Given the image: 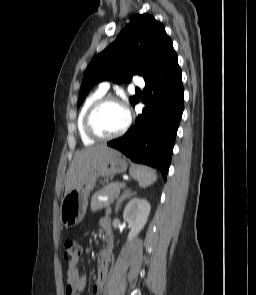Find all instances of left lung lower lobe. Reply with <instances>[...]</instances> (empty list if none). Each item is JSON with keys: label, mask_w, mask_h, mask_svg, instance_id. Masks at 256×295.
Segmentation results:
<instances>
[{"label": "left lung lower lobe", "mask_w": 256, "mask_h": 295, "mask_svg": "<svg viewBox=\"0 0 256 295\" xmlns=\"http://www.w3.org/2000/svg\"><path fill=\"white\" fill-rule=\"evenodd\" d=\"M145 82L142 102L146 106L143 113L138 115L135 127L107 145L118 149L134 162L160 169L166 180L184 109V90L178 61Z\"/></svg>", "instance_id": "left-lung-lower-lobe-1"}]
</instances>
